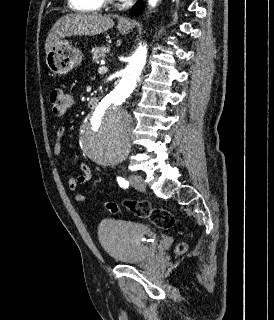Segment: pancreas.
<instances>
[{
    "instance_id": "1",
    "label": "pancreas",
    "mask_w": 274,
    "mask_h": 320,
    "mask_svg": "<svg viewBox=\"0 0 274 320\" xmlns=\"http://www.w3.org/2000/svg\"><path fill=\"white\" fill-rule=\"evenodd\" d=\"M110 46H101V48H92V60L93 62H99V60H103L106 58V54H109Z\"/></svg>"
}]
</instances>
